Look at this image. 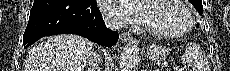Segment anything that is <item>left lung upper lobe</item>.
<instances>
[{
  "label": "left lung upper lobe",
  "mask_w": 230,
  "mask_h": 71,
  "mask_svg": "<svg viewBox=\"0 0 230 71\" xmlns=\"http://www.w3.org/2000/svg\"><path fill=\"white\" fill-rule=\"evenodd\" d=\"M189 2L196 8L198 13L202 15L203 12L202 0H189Z\"/></svg>",
  "instance_id": "obj_1"
}]
</instances>
